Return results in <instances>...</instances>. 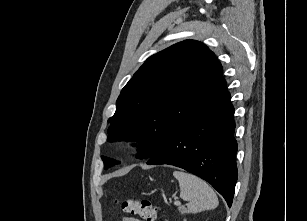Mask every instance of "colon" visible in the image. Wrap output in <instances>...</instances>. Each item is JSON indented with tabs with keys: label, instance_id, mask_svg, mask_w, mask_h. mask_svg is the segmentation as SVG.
Wrapping results in <instances>:
<instances>
[{
	"label": "colon",
	"instance_id": "5ec220e1",
	"mask_svg": "<svg viewBox=\"0 0 307 221\" xmlns=\"http://www.w3.org/2000/svg\"><path fill=\"white\" fill-rule=\"evenodd\" d=\"M118 204L125 212L138 216L146 221L157 220V206L146 199H127L119 201Z\"/></svg>",
	"mask_w": 307,
	"mask_h": 221
}]
</instances>
